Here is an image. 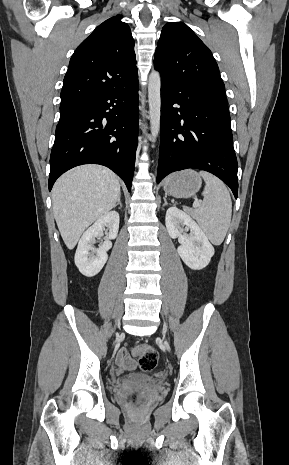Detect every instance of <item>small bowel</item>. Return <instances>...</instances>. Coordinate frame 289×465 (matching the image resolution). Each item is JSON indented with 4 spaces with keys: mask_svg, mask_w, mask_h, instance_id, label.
<instances>
[{
    "mask_svg": "<svg viewBox=\"0 0 289 465\" xmlns=\"http://www.w3.org/2000/svg\"><path fill=\"white\" fill-rule=\"evenodd\" d=\"M116 363L123 370H133L136 362L130 357L126 349H121L116 355Z\"/></svg>",
    "mask_w": 289,
    "mask_h": 465,
    "instance_id": "obj_1",
    "label": "small bowel"
}]
</instances>
